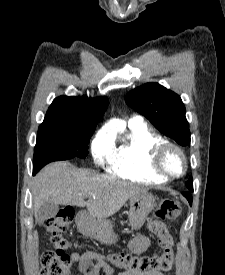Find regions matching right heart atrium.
Here are the masks:
<instances>
[{
  "instance_id": "obj_1",
  "label": "right heart atrium",
  "mask_w": 225,
  "mask_h": 275,
  "mask_svg": "<svg viewBox=\"0 0 225 275\" xmlns=\"http://www.w3.org/2000/svg\"><path fill=\"white\" fill-rule=\"evenodd\" d=\"M114 148L113 137L107 132H98L91 143V154L95 163L102 165L108 161Z\"/></svg>"
}]
</instances>
